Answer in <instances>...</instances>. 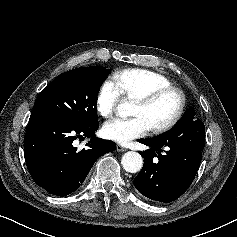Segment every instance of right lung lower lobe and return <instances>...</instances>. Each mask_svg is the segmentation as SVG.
Here are the masks:
<instances>
[{"mask_svg": "<svg viewBox=\"0 0 237 237\" xmlns=\"http://www.w3.org/2000/svg\"><path fill=\"white\" fill-rule=\"evenodd\" d=\"M99 122L81 125L44 113H32L24 136L27 168L37 185L66 196L85 180L96 160L115 150V143L95 137ZM91 138L77 150L73 141Z\"/></svg>", "mask_w": 237, "mask_h": 237, "instance_id": "obj_1", "label": "right lung lower lobe"}]
</instances>
